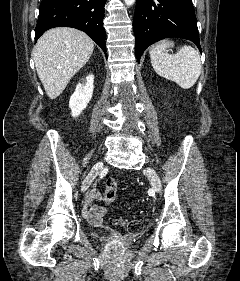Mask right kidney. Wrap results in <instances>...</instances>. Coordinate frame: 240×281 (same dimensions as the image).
Segmentation results:
<instances>
[{
  "label": "right kidney",
  "instance_id": "ca27d5eb",
  "mask_svg": "<svg viewBox=\"0 0 240 281\" xmlns=\"http://www.w3.org/2000/svg\"><path fill=\"white\" fill-rule=\"evenodd\" d=\"M94 89V75H88L85 81L78 83L75 92L72 94L69 107L73 117H77L87 107L92 98Z\"/></svg>",
  "mask_w": 240,
  "mask_h": 281
}]
</instances>
